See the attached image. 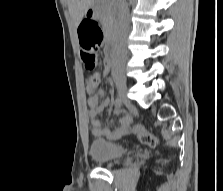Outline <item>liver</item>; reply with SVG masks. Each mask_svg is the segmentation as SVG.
Wrapping results in <instances>:
<instances>
[{"label": "liver", "instance_id": "liver-1", "mask_svg": "<svg viewBox=\"0 0 223 191\" xmlns=\"http://www.w3.org/2000/svg\"><path fill=\"white\" fill-rule=\"evenodd\" d=\"M67 2L70 15L77 27L87 11L94 6L96 0H68Z\"/></svg>", "mask_w": 223, "mask_h": 191}]
</instances>
